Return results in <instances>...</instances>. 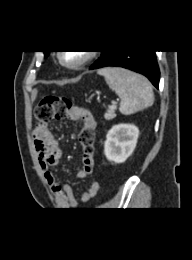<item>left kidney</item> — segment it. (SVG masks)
<instances>
[{
  "mask_svg": "<svg viewBox=\"0 0 192 260\" xmlns=\"http://www.w3.org/2000/svg\"><path fill=\"white\" fill-rule=\"evenodd\" d=\"M139 129L133 124L114 125L107 133L104 143L106 158L115 163H123L133 153Z\"/></svg>",
  "mask_w": 192,
  "mask_h": 260,
  "instance_id": "5707ae66",
  "label": "left kidney"
}]
</instances>
